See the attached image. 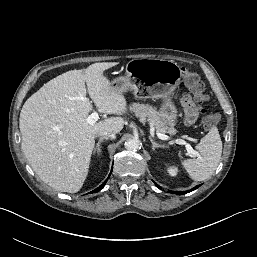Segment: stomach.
<instances>
[{
  "label": "stomach",
  "instance_id": "0dacf381",
  "mask_svg": "<svg viewBox=\"0 0 257 257\" xmlns=\"http://www.w3.org/2000/svg\"><path fill=\"white\" fill-rule=\"evenodd\" d=\"M181 69L172 60L133 59L126 64V76L111 81L115 90H132L136 97L161 98L160 113L167 122L177 119L172 96L180 82Z\"/></svg>",
  "mask_w": 257,
  "mask_h": 257
}]
</instances>
